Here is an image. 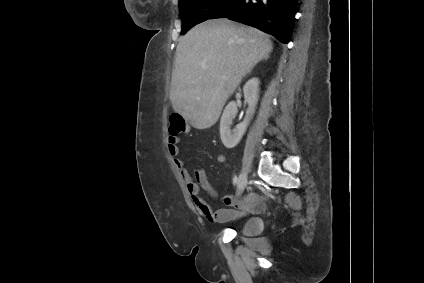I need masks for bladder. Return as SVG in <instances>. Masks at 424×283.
Listing matches in <instances>:
<instances>
[{
	"mask_svg": "<svg viewBox=\"0 0 424 283\" xmlns=\"http://www.w3.org/2000/svg\"><path fill=\"white\" fill-rule=\"evenodd\" d=\"M263 228V221L260 218L253 217L246 220L241 226V233L246 236L259 234Z\"/></svg>",
	"mask_w": 424,
	"mask_h": 283,
	"instance_id": "31cf9c89",
	"label": "bladder"
}]
</instances>
